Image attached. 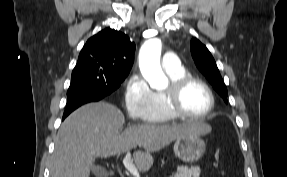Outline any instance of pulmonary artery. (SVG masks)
I'll return each instance as SVG.
<instances>
[{
    "label": "pulmonary artery",
    "instance_id": "pulmonary-artery-1",
    "mask_svg": "<svg viewBox=\"0 0 287 177\" xmlns=\"http://www.w3.org/2000/svg\"><path fill=\"white\" fill-rule=\"evenodd\" d=\"M162 66L165 70H175L180 67V61L175 52L165 53L162 59Z\"/></svg>",
    "mask_w": 287,
    "mask_h": 177
}]
</instances>
